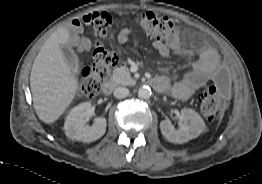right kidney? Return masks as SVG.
<instances>
[{
	"instance_id": "obj_1",
	"label": "right kidney",
	"mask_w": 262,
	"mask_h": 184,
	"mask_svg": "<svg viewBox=\"0 0 262 184\" xmlns=\"http://www.w3.org/2000/svg\"><path fill=\"white\" fill-rule=\"evenodd\" d=\"M91 111V103L84 102L69 112L64 124L65 134L68 138L82 142H92L105 134L107 121L104 117L97 118L92 126L85 124Z\"/></svg>"
}]
</instances>
